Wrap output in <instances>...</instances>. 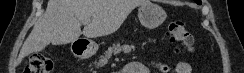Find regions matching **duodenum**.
Masks as SVG:
<instances>
[{
    "label": "duodenum",
    "instance_id": "1",
    "mask_svg": "<svg viewBox=\"0 0 244 73\" xmlns=\"http://www.w3.org/2000/svg\"><path fill=\"white\" fill-rule=\"evenodd\" d=\"M73 52L77 57L86 58L90 54V48L82 42H75Z\"/></svg>",
    "mask_w": 244,
    "mask_h": 73
}]
</instances>
